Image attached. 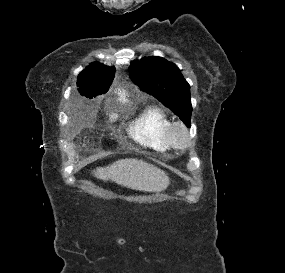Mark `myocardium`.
Returning a JSON list of instances; mask_svg holds the SVG:
<instances>
[{
    "label": "myocardium",
    "mask_w": 285,
    "mask_h": 273,
    "mask_svg": "<svg viewBox=\"0 0 285 273\" xmlns=\"http://www.w3.org/2000/svg\"><path fill=\"white\" fill-rule=\"evenodd\" d=\"M168 139L175 149L186 150L192 143L189 128L181 122H174L168 130Z\"/></svg>",
    "instance_id": "obj_1"
}]
</instances>
